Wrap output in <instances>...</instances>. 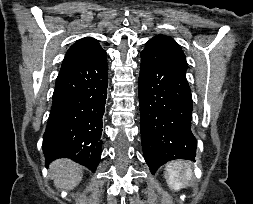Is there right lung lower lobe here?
<instances>
[{"label": "right lung lower lobe", "instance_id": "obj_1", "mask_svg": "<svg viewBox=\"0 0 253 204\" xmlns=\"http://www.w3.org/2000/svg\"><path fill=\"white\" fill-rule=\"evenodd\" d=\"M107 70L106 52L101 50L59 72L43 136L47 163L66 157L96 170L101 157Z\"/></svg>", "mask_w": 253, "mask_h": 204}]
</instances>
